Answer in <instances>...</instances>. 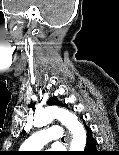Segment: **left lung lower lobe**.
Here are the masks:
<instances>
[{
	"label": "left lung lower lobe",
	"instance_id": "left-lung-lower-lobe-1",
	"mask_svg": "<svg viewBox=\"0 0 119 155\" xmlns=\"http://www.w3.org/2000/svg\"><path fill=\"white\" fill-rule=\"evenodd\" d=\"M86 127V131H87V142H86V147L84 152H82V155H98L97 154V141L96 139L93 137L92 135V130L91 128Z\"/></svg>",
	"mask_w": 119,
	"mask_h": 155
}]
</instances>
